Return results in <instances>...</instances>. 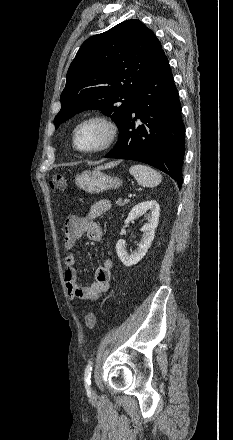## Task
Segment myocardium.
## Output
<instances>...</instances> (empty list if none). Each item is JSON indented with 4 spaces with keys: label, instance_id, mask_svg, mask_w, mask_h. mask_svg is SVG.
Masks as SVG:
<instances>
[{
    "label": "myocardium",
    "instance_id": "obj_1",
    "mask_svg": "<svg viewBox=\"0 0 233 440\" xmlns=\"http://www.w3.org/2000/svg\"><path fill=\"white\" fill-rule=\"evenodd\" d=\"M90 122H97L102 124L107 130V137L104 143L99 147L93 149H82L78 146L77 143L78 131L83 125ZM118 136H119V127L117 123L106 114L96 113L84 117L76 124V126L73 129L72 144L75 150H77L78 152L85 154H95L110 149L115 144L116 140L118 139Z\"/></svg>",
    "mask_w": 233,
    "mask_h": 440
}]
</instances>
